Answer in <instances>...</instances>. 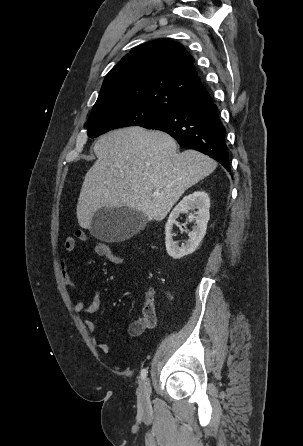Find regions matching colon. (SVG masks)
Masks as SVG:
<instances>
[{
    "mask_svg": "<svg viewBox=\"0 0 303 446\" xmlns=\"http://www.w3.org/2000/svg\"><path fill=\"white\" fill-rule=\"evenodd\" d=\"M99 250L97 252V255H99L100 257L105 258L106 260L112 262V263H120L123 261V256L114 253L108 245L99 242Z\"/></svg>",
    "mask_w": 303,
    "mask_h": 446,
    "instance_id": "1",
    "label": "colon"
}]
</instances>
